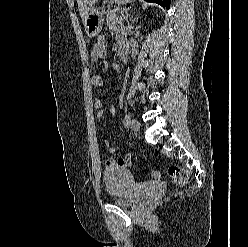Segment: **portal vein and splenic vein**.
Segmentation results:
<instances>
[{"label":"portal vein and splenic vein","mask_w":248,"mask_h":247,"mask_svg":"<svg viewBox=\"0 0 248 247\" xmlns=\"http://www.w3.org/2000/svg\"><path fill=\"white\" fill-rule=\"evenodd\" d=\"M126 9H122V12L125 11Z\"/></svg>","instance_id":"portal-vein-and-splenic-vein-1"}]
</instances>
